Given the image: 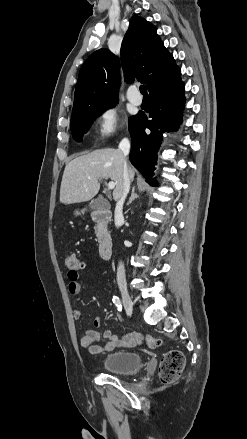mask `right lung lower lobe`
<instances>
[{
	"label": "right lung lower lobe",
	"mask_w": 247,
	"mask_h": 439,
	"mask_svg": "<svg viewBox=\"0 0 247 439\" xmlns=\"http://www.w3.org/2000/svg\"><path fill=\"white\" fill-rule=\"evenodd\" d=\"M184 83L177 84L150 95L151 112L148 120L145 114L138 113L129 124L132 148L130 161L141 172L146 181L156 185L152 179L156 165L157 152L162 142V134L179 128L184 107ZM148 128L150 132H146Z\"/></svg>",
	"instance_id": "98d812e1"
}]
</instances>
